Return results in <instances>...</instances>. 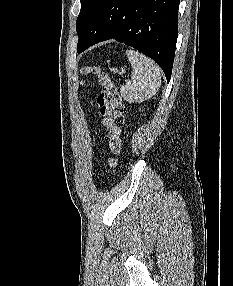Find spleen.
I'll list each match as a JSON object with an SVG mask.
<instances>
[{"mask_svg":"<svg viewBox=\"0 0 233 286\" xmlns=\"http://www.w3.org/2000/svg\"><path fill=\"white\" fill-rule=\"evenodd\" d=\"M132 66L131 80L120 88L123 99L129 103H142L154 96L161 85L159 66L138 51L126 50Z\"/></svg>","mask_w":233,"mask_h":286,"instance_id":"3e777b00","label":"spleen"}]
</instances>
